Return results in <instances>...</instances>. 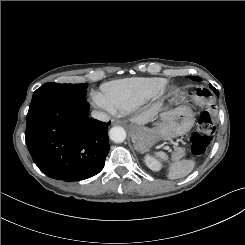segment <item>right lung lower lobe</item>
Wrapping results in <instances>:
<instances>
[{"instance_id": "right-lung-lower-lobe-1", "label": "right lung lower lobe", "mask_w": 245, "mask_h": 245, "mask_svg": "<svg viewBox=\"0 0 245 245\" xmlns=\"http://www.w3.org/2000/svg\"><path fill=\"white\" fill-rule=\"evenodd\" d=\"M89 110L84 94L52 92L32 99L25 140L34 163L47 176L70 182L102 170L110 122L89 118Z\"/></svg>"}]
</instances>
